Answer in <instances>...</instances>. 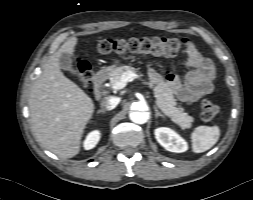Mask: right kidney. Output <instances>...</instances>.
Instances as JSON below:
<instances>
[{"label": "right kidney", "mask_w": 253, "mask_h": 200, "mask_svg": "<svg viewBox=\"0 0 253 200\" xmlns=\"http://www.w3.org/2000/svg\"><path fill=\"white\" fill-rule=\"evenodd\" d=\"M99 140H100V132L98 130L90 132L83 142L84 149L85 150L93 149L97 145Z\"/></svg>", "instance_id": "ca27d5eb"}]
</instances>
